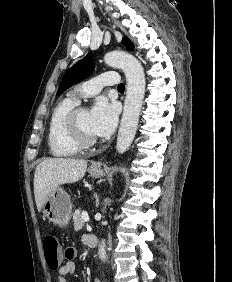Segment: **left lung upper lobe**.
Instances as JSON below:
<instances>
[{
  "label": "left lung upper lobe",
  "instance_id": "1",
  "mask_svg": "<svg viewBox=\"0 0 232 282\" xmlns=\"http://www.w3.org/2000/svg\"><path fill=\"white\" fill-rule=\"evenodd\" d=\"M121 43L125 45L126 49L131 51L133 49V43L129 39H122ZM94 70L93 55L89 53L85 58L78 61L70 69H68L62 79L59 86L57 96L62 94L66 89L72 85L80 82L88 77Z\"/></svg>",
  "mask_w": 232,
  "mask_h": 282
}]
</instances>
